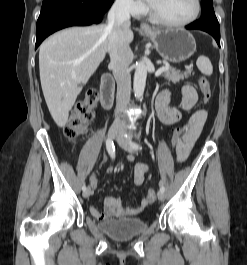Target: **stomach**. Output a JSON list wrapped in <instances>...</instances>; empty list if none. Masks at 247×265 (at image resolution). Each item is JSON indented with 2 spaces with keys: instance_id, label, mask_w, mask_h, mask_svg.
I'll use <instances>...</instances> for the list:
<instances>
[{
  "instance_id": "obj_1",
  "label": "stomach",
  "mask_w": 247,
  "mask_h": 265,
  "mask_svg": "<svg viewBox=\"0 0 247 265\" xmlns=\"http://www.w3.org/2000/svg\"><path fill=\"white\" fill-rule=\"evenodd\" d=\"M159 55L166 61L179 63L190 58L196 51V42L191 33L184 29H151L144 32Z\"/></svg>"
}]
</instances>
